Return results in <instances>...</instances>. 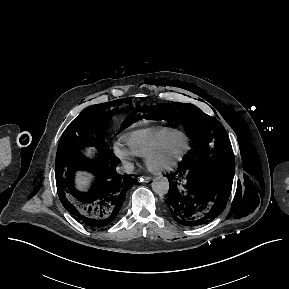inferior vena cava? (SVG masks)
I'll return each mask as SVG.
<instances>
[{"label":"inferior vena cava","mask_w":289,"mask_h":289,"mask_svg":"<svg viewBox=\"0 0 289 289\" xmlns=\"http://www.w3.org/2000/svg\"><path fill=\"white\" fill-rule=\"evenodd\" d=\"M134 170V165L131 163H126L121 167L117 168V172L122 174V173H127L130 174Z\"/></svg>","instance_id":"obj_1"}]
</instances>
